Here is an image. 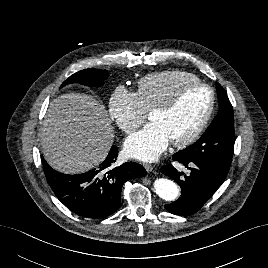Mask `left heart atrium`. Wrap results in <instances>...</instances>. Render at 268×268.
Here are the masks:
<instances>
[{
	"label": "left heart atrium",
	"instance_id": "left-heart-atrium-1",
	"mask_svg": "<svg viewBox=\"0 0 268 268\" xmlns=\"http://www.w3.org/2000/svg\"><path fill=\"white\" fill-rule=\"evenodd\" d=\"M169 142L162 126L152 122L127 137L124 152L129 158L151 162L166 150Z\"/></svg>",
	"mask_w": 268,
	"mask_h": 268
}]
</instances>
